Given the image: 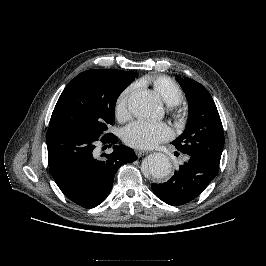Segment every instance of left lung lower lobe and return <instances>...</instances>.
I'll list each match as a JSON object with an SVG mask.
<instances>
[{
    "mask_svg": "<svg viewBox=\"0 0 266 266\" xmlns=\"http://www.w3.org/2000/svg\"><path fill=\"white\" fill-rule=\"evenodd\" d=\"M219 167L195 156L175 170L170 180L152 184L159 199L172 206H179L195 199L218 174Z\"/></svg>",
    "mask_w": 266,
    "mask_h": 266,
    "instance_id": "1",
    "label": "left lung lower lobe"
}]
</instances>
